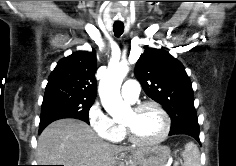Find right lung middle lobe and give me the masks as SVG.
I'll return each instance as SVG.
<instances>
[{"instance_id":"dd1d6c3e","label":"right lung middle lobe","mask_w":236,"mask_h":166,"mask_svg":"<svg viewBox=\"0 0 236 166\" xmlns=\"http://www.w3.org/2000/svg\"><path fill=\"white\" fill-rule=\"evenodd\" d=\"M93 103L94 99L63 94L44 96L40 127L47 126L51 122L62 118L80 119L89 124V109Z\"/></svg>"}]
</instances>
